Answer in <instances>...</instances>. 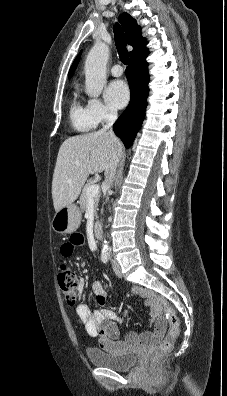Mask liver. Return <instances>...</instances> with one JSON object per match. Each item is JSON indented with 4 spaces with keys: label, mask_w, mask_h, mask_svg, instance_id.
<instances>
[{
    "label": "liver",
    "mask_w": 227,
    "mask_h": 396,
    "mask_svg": "<svg viewBox=\"0 0 227 396\" xmlns=\"http://www.w3.org/2000/svg\"><path fill=\"white\" fill-rule=\"evenodd\" d=\"M114 152L121 156L122 144L105 132L66 139L59 148L52 180L55 211L72 204L89 174L105 171Z\"/></svg>",
    "instance_id": "liver-1"
}]
</instances>
